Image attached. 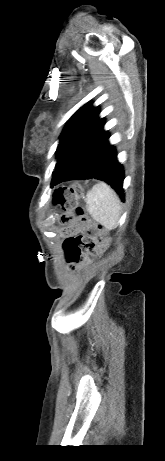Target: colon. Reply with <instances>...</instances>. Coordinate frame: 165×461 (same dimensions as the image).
Wrapping results in <instances>:
<instances>
[{
  "label": "colon",
  "instance_id": "5ec220e1",
  "mask_svg": "<svg viewBox=\"0 0 165 461\" xmlns=\"http://www.w3.org/2000/svg\"><path fill=\"white\" fill-rule=\"evenodd\" d=\"M80 193V186L75 184L71 187H63L59 188L54 195V202L55 204L61 206L65 213L61 216V222L65 223L73 218V214L71 213V209L74 206L75 198ZM77 215L81 222L90 226V229H93V235L96 236V243L98 245H105L107 243V239L103 233L101 225H93L91 220L81 211L77 210ZM95 242L91 239L90 242H86L84 248L86 250H94L95 249Z\"/></svg>",
  "mask_w": 165,
  "mask_h": 461
}]
</instances>
